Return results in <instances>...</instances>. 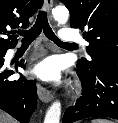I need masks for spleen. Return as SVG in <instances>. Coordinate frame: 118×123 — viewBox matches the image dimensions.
<instances>
[{"label": "spleen", "instance_id": "1", "mask_svg": "<svg viewBox=\"0 0 118 123\" xmlns=\"http://www.w3.org/2000/svg\"><path fill=\"white\" fill-rule=\"evenodd\" d=\"M91 123H112V122L106 119H94L91 121Z\"/></svg>", "mask_w": 118, "mask_h": 123}]
</instances>
